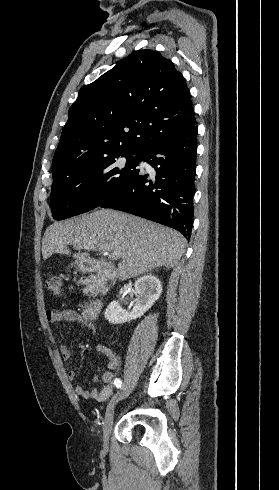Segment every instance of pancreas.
I'll return each instance as SVG.
<instances>
[{
	"label": "pancreas",
	"instance_id": "pancreas-1",
	"mask_svg": "<svg viewBox=\"0 0 279 490\" xmlns=\"http://www.w3.org/2000/svg\"><path fill=\"white\" fill-rule=\"evenodd\" d=\"M87 280L88 282H84L83 294L92 296V294H95L96 288L100 286L99 278H87Z\"/></svg>",
	"mask_w": 279,
	"mask_h": 490
}]
</instances>
